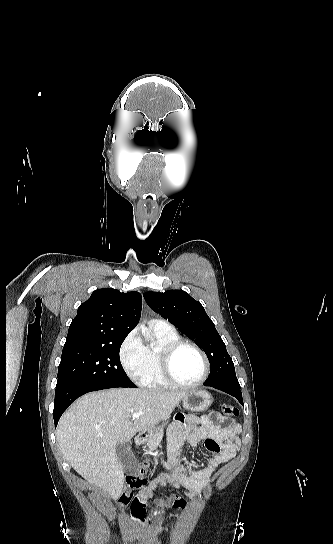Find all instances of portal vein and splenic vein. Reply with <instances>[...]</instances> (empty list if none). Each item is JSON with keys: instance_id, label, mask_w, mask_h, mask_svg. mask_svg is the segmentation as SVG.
<instances>
[{"instance_id": "obj_1", "label": "portal vein and splenic vein", "mask_w": 333, "mask_h": 544, "mask_svg": "<svg viewBox=\"0 0 333 544\" xmlns=\"http://www.w3.org/2000/svg\"><path fill=\"white\" fill-rule=\"evenodd\" d=\"M142 413H134L132 415V419H136V418H139L141 416Z\"/></svg>"}]
</instances>
